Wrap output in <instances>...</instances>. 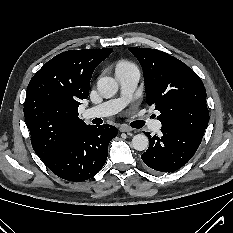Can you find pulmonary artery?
<instances>
[{
    "label": "pulmonary artery",
    "mask_w": 233,
    "mask_h": 233,
    "mask_svg": "<svg viewBox=\"0 0 233 233\" xmlns=\"http://www.w3.org/2000/svg\"><path fill=\"white\" fill-rule=\"evenodd\" d=\"M116 79L120 85V97L106 101L100 105L86 109L82 116L89 120L107 117L118 113L133 97V93L140 79V73L134 66L116 70ZM152 131L161 129V122L152 120L149 123Z\"/></svg>",
    "instance_id": "1"
}]
</instances>
